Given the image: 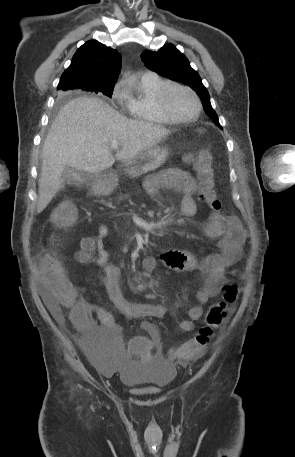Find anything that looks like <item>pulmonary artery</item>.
<instances>
[{
  "mask_svg": "<svg viewBox=\"0 0 295 457\" xmlns=\"http://www.w3.org/2000/svg\"><path fill=\"white\" fill-rule=\"evenodd\" d=\"M150 74H152V73H150V72H147V73H144V75H143V76H146V75H150Z\"/></svg>",
  "mask_w": 295,
  "mask_h": 457,
  "instance_id": "1",
  "label": "pulmonary artery"
}]
</instances>
